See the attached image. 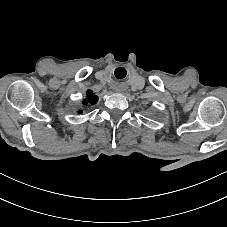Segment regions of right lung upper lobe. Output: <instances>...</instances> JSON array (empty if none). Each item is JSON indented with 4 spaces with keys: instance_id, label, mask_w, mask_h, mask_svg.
I'll list each match as a JSON object with an SVG mask.
<instances>
[{
    "instance_id": "obj_1",
    "label": "right lung upper lobe",
    "mask_w": 227,
    "mask_h": 227,
    "mask_svg": "<svg viewBox=\"0 0 227 227\" xmlns=\"http://www.w3.org/2000/svg\"><path fill=\"white\" fill-rule=\"evenodd\" d=\"M87 98L84 100V104H88V103H90V104H95L96 102H97V100H98V97L97 96H95L93 93H92V91H88L87 92ZM79 113H82V111H79Z\"/></svg>"
}]
</instances>
